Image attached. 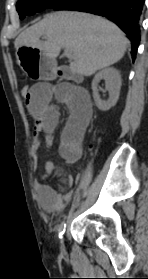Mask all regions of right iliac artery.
<instances>
[{"label": "right iliac artery", "mask_w": 148, "mask_h": 279, "mask_svg": "<svg viewBox=\"0 0 148 279\" xmlns=\"http://www.w3.org/2000/svg\"><path fill=\"white\" fill-rule=\"evenodd\" d=\"M65 229H66V224L65 222L63 221L60 226H59V229H58V233H59V238L62 239L63 238V234L65 233Z\"/></svg>", "instance_id": "right-iliac-artery-1"}]
</instances>
